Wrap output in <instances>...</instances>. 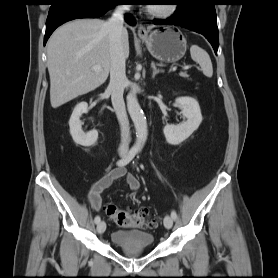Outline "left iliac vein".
Instances as JSON below:
<instances>
[{"label":"left iliac vein","mask_w":278,"mask_h":278,"mask_svg":"<svg viewBox=\"0 0 278 278\" xmlns=\"http://www.w3.org/2000/svg\"><path fill=\"white\" fill-rule=\"evenodd\" d=\"M164 226L167 229H170L173 226V218L169 215L165 216L164 218Z\"/></svg>","instance_id":"1"}]
</instances>
